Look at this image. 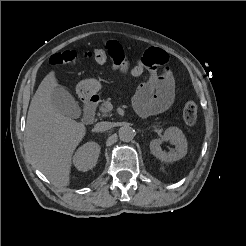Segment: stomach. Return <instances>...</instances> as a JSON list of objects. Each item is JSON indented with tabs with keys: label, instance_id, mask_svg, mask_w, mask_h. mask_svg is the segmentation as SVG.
<instances>
[{
	"label": "stomach",
	"instance_id": "1",
	"mask_svg": "<svg viewBox=\"0 0 246 246\" xmlns=\"http://www.w3.org/2000/svg\"><path fill=\"white\" fill-rule=\"evenodd\" d=\"M101 89V84L96 79H85L77 85V92L84 97H91Z\"/></svg>",
	"mask_w": 246,
	"mask_h": 246
}]
</instances>
